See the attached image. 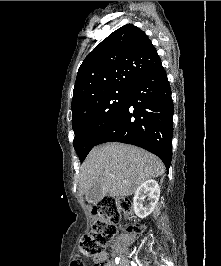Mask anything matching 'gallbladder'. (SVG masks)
I'll return each instance as SVG.
<instances>
[{
	"mask_svg": "<svg viewBox=\"0 0 221 266\" xmlns=\"http://www.w3.org/2000/svg\"><path fill=\"white\" fill-rule=\"evenodd\" d=\"M105 194L106 193L103 191L101 184H97L87 191L86 200L89 203H96L100 201Z\"/></svg>",
	"mask_w": 221,
	"mask_h": 266,
	"instance_id": "obj_1",
	"label": "gallbladder"
}]
</instances>
